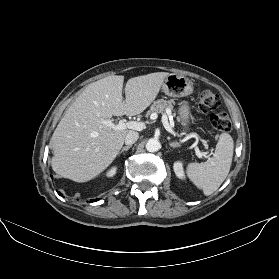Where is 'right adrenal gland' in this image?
Listing matches in <instances>:
<instances>
[{"mask_svg":"<svg viewBox=\"0 0 279 279\" xmlns=\"http://www.w3.org/2000/svg\"><path fill=\"white\" fill-rule=\"evenodd\" d=\"M130 148H131V145L123 147L122 150L118 153V156L120 154H122L124 151L127 152Z\"/></svg>","mask_w":279,"mask_h":279,"instance_id":"1","label":"right adrenal gland"}]
</instances>
